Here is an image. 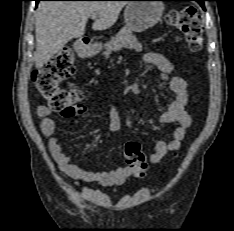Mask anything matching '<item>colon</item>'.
<instances>
[{
    "label": "colon",
    "instance_id": "colon-1",
    "mask_svg": "<svg viewBox=\"0 0 234 231\" xmlns=\"http://www.w3.org/2000/svg\"><path fill=\"white\" fill-rule=\"evenodd\" d=\"M166 22L177 28L185 37L192 50H198L202 43V25L197 10L186 6L166 15ZM73 53L64 49L56 54L42 68L32 75V81L38 93L54 110H69L81 99L82 92L77 88H64L60 82L74 75ZM124 156L133 167L137 176L142 177L147 170V158L137 142H128L124 147Z\"/></svg>",
    "mask_w": 234,
    "mask_h": 231
}]
</instances>
